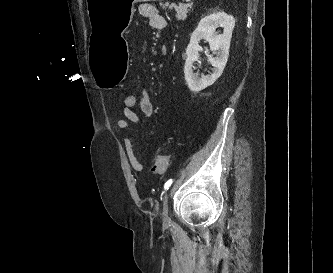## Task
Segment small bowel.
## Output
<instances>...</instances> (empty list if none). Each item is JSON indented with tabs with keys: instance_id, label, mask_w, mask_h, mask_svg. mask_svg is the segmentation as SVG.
<instances>
[{
	"instance_id": "1",
	"label": "small bowel",
	"mask_w": 333,
	"mask_h": 273,
	"mask_svg": "<svg viewBox=\"0 0 333 273\" xmlns=\"http://www.w3.org/2000/svg\"><path fill=\"white\" fill-rule=\"evenodd\" d=\"M140 12L143 16L149 18L150 26L153 29L162 30L168 26L167 20L161 16L157 10L149 4H144L140 8ZM135 108L140 110V114L134 112L133 109H123L122 115L124 119H119L116 122V126L121 130H128L130 128L129 122L135 124H145L154 114L153 105L151 102V97L148 89L142 88L139 95L136 96ZM126 155L131 165L132 169L136 172H141L143 170V164L138 160L133 142L130 137H127L124 141Z\"/></svg>"
}]
</instances>
